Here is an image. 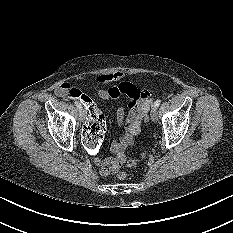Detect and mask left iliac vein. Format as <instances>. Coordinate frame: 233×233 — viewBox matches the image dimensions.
<instances>
[{"instance_id": "1", "label": "left iliac vein", "mask_w": 233, "mask_h": 233, "mask_svg": "<svg viewBox=\"0 0 233 233\" xmlns=\"http://www.w3.org/2000/svg\"><path fill=\"white\" fill-rule=\"evenodd\" d=\"M151 120L153 121V122H157V120H158V112H157V108L156 107H152V109H151Z\"/></svg>"}]
</instances>
